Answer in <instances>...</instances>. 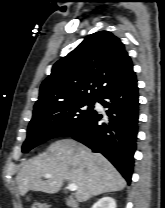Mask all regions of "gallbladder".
Listing matches in <instances>:
<instances>
[{"label":"gallbladder","mask_w":165,"mask_h":208,"mask_svg":"<svg viewBox=\"0 0 165 208\" xmlns=\"http://www.w3.org/2000/svg\"><path fill=\"white\" fill-rule=\"evenodd\" d=\"M66 203L68 206H72L73 205V200L72 199H67Z\"/></svg>","instance_id":"gallbladder-1"}]
</instances>
